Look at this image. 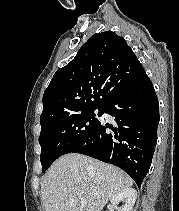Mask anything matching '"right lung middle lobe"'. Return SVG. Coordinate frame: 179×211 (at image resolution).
<instances>
[{"mask_svg":"<svg viewBox=\"0 0 179 211\" xmlns=\"http://www.w3.org/2000/svg\"><path fill=\"white\" fill-rule=\"evenodd\" d=\"M98 110V114L96 113ZM103 108H91L58 117L41 129L40 161L45 172L60 156L87 142L101 123Z\"/></svg>","mask_w":179,"mask_h":211,"instance_id":"1","label":"right lung middle lobe"}]
</instances>
